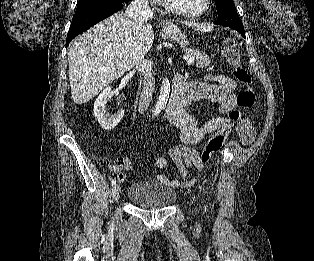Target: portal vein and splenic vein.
Here are the masks:
<instances>
[{"label":"portal vein and splenic vein","instance_id":"18ae733b","mask_svg":"<svg viewBox=\"0 0 314 261\" xmlns=\"http://www.w3.org/2000/svg\"><path fill=\"white\" fill-rule=\"evenodd\" d=\"M184 59L186 60L187 62V65H191L194 63L195 61V58L194 57H188V56H184ZM108 68H105V69H102L101 71H107Z\"/></svg>","mask_w":314,"mask_h":261}]
</instances>
